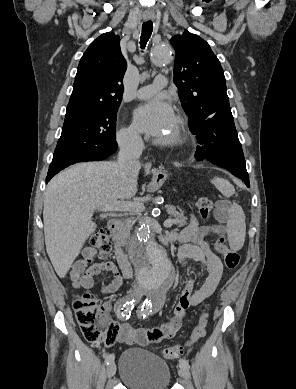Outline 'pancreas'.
Here are the masks:
<instances>
[{"mask_svg":"<svg viewBox=\"0 0 296 389\" xmlns=\"http://www.w3.org/2000/svg\"><path fill=\"white\" fill-rule=\"evenodd\" d=\"M168 214H170L173 217V224L177 225L178 227H184L187 225V217L182 213L175 209L174 206L166 205L165 206ZM137 218L131 217L125 219L118 228V236L121 242L124 244L127 242V240L130 237V232L132 230V226L135 223Z\"/></svg>","mask_w":296,"mask_h":389,"instance_id":"1","label":"pancreas"}]
</instances>
